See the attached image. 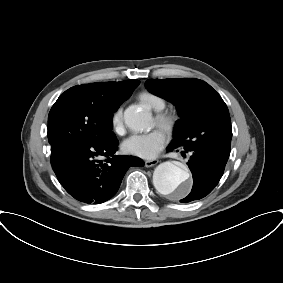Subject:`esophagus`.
<instances>
[{
  "instance_id": "obj_1",
  "label": "esophagus",
  "mask_w": 283,
  "mask_h": 283,
  "mask_svg": "<svg viewBox=\"0 0 283 283\" xmlns=\"http://www.w3.org/2000/svg\"><path fill=\"white\" fill-rule=\"evenodd\" d=\"M159 161L157 159L145 161V167L155 166Z\"/></svg>"
}]
</instances>
